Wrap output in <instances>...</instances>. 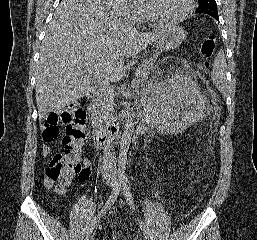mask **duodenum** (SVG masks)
Listing matches in <instances>:
<instances>
[{"label":"duodenum","instance_id":"1","mask_svg":"<svg viewBox=\"0 0 257 240\" xmlns=\"http://www.w3.org/2000/svg\"><path fill=\"white\" fill-rule=\"evenodd\" d=\"M95 96V90L94 88L90 87L85 92V97L87 99H92ZM124 114L118 113L115 115L112 119H110L108 122H106L103 127H101L99 130H96L93 135V141L94 145L98 149H105L110 147L119 132V125L120 122L123 120Z\"/></svg>","mask_w":257,"mask_h":240}]
</instances>
